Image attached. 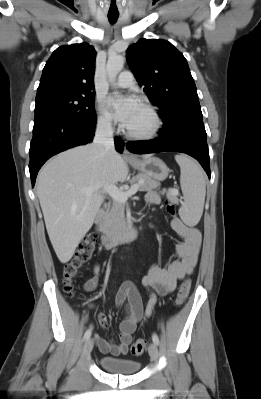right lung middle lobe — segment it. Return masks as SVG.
<instances>
[{"mask_svg": "<svg viewBox=\"0 0 261 399\" xmlns=\"http://www.w3.org/2000/svg\"><path fill=\"white\" fill-rule=\"evenodd\" d=\"M35 118L62 115L84 124L96 122L94 95L54 94L36 98Z\"/></svg>", "mask_w": 261, "mask_h": 399, "instance_id": "right-lung-middle-lobe-1", "label": "right lung middle lobe"}]
</instances>
